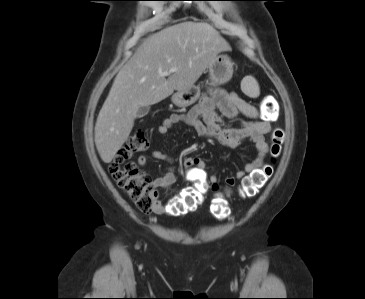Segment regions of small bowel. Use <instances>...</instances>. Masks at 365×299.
<instances>
[{
    "label": "small bowel",
    "instance_id": "obj_1",
    "mask_svg": "<svg viewBox=\"0 0 365 299\" xmlns=\"http://www.w3.org/2000/svg\"><path fill=\"white\" fill-rule=\"evenodd\" d=\"M239 114L247 119L239 122L237 126H226L222 121V116L235 120ZM179 123L191 126L196 134L201 137L217 139L231 148L240 146L245 140L254 143L256 156L243 169L238 170L235 176L225 178L224 182L228 185H232L236 180H240L258 170L268 152L265 136L270 131L269 121L260 117L251 104L234 93H226L219 89L209 90L201 97L199 103L188 112L173 113L165 118L158 127L157 132L159 135H166ZM151 156L159 160L169 159L165 153L159 150H153ZM147 163L148 156L141 155L138 158L139 165L145 166ZM183 165L191 180L209 183L213 187H217L220 183L216 175L206 172L205 162L200 157H187L184 159ZM175 181V172L173 169H169L164 175L155 178L152 184L156 189H167ZM167 207L169 209V205ZM165 210L166 208L162 203L156 201L155 213H162Z\"/></svg>",
    "mask_w": 365,
    "mask_h": 299
}]
</instances>
